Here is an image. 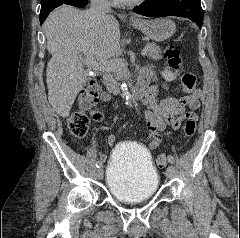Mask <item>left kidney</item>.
<instances>
[{"instance_id":"obj_1","label":"left kidney","mask_w":240,"mask_h":238,"mask_svg":"<svg viewBox=\"0 0 240 238\" xmlns=\"http://www.w3.org/2000/svg\"><path fill=\"white\" fill-rule=\"evenodd\" d=\"M161 75L166 81H173L176 78L175 74L172 73L168 68H165Z\"/></svg>"}]
</instances>
